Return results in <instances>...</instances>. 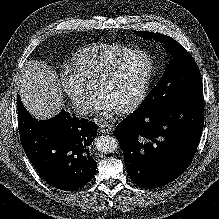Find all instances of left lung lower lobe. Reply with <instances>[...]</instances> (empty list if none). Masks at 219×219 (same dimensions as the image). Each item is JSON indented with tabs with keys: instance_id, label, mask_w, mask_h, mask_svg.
<instances>
[{
	"instance_id": "1",
	"label": "left lung lower lobe",
	"mask_w": 219,
	"mask_h": 219,
	"mask_svg": "<svg viewBox=\"0 0 219 219\" xmlns=\"http://www.w3.org/2000/svg\"><path fill=\"white\" fill-rule=\"evenodd\" d=\"M204 126L202 96L178 100L153 112H133L115 129L130 178L155 189L190 165Z\"/></svg>"
}]
</instances>
